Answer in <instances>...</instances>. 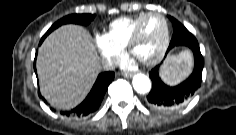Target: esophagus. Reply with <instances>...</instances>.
<instances>
[{
	"instance_id": "esophagus-1",
	"label": "esophagus",
	"mask_w": 236,
	"mask_h": 135,
	"mask_svg": "<svg viewBox=\"0 0 236 135\" xmlns=\"http://www.w3.org/2000/svg\"><path fill=\"white\" fill-rule=\"evenodd\" d=\"M133 75H134L133 72H124V73H123V76L126 77V78H130V77H132Z\"/></svg>"
}]
</instances>
